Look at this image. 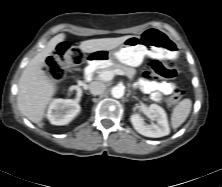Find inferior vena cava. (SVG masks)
Returning <instances> with one entry per match:
<instances>
[{
	"instance_id": "inferior-vena-cava-1",
	"label": "inferior vena cava",
	"mask_w": 222,
	"mask_h": 187,
	"mask_svg": "<svg viewBox=\"0 0 222 187\" xmlns=\"http://www.w3.org/2000/svg\"><path fill=\"white\" fill-rule=\"evenodd\" d=\"M89 89H90L91 94L100 95L105 91L106 86L104 83H102L100 81H94V82L90 83Z\"/></svg>"
}]
</instances>
